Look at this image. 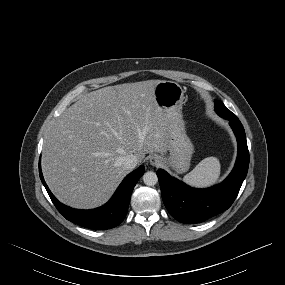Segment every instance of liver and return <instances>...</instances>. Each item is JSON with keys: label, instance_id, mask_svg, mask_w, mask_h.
I'll list each match as a JSON object with an SVG mask.
<instances>
[{"label": "liver", "instance_id": "1", "mask_svg": "<svg viewBox=\"0 0 285 285\" xmlns=\"http://www.w3.org/2000/svg\"><path fill=\"white\" fill-rule=\"evenodd\" d=\"M147 80L108 86L81 96L49 128L42 170L64 204L91 209L106 203L129 173L123 158L141 163L147 153H165L167 122Z\"/></svg>", "mask_w": 285, "mask_h": 285}]
</instances>
